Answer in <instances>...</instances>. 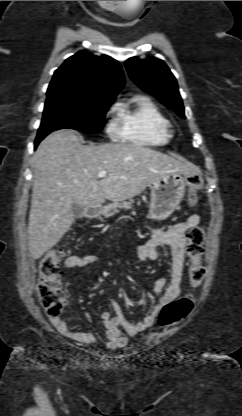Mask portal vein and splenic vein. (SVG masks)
I'll return each instance as SVG.
<instances>
[{
    "mask_svg": "<svg viewBox=\"0 0 242 416\" xmlns=\"http://www.w3.org/2000/svg\"><path fill=\"white\" fill-rule=\"evenodd\" d=\"M106 175H107V172H106V171H100V172L98 173L97 177H98V178H103V177H105Z\"/></svg>",
    "mask_w": 242,
    "mask_h": 416,
    "instance_id": "obj_1",
    "label": "portal vein and splenic vein"
}]
</instances>
